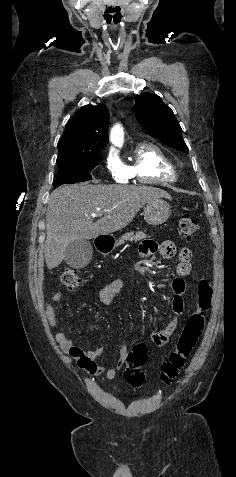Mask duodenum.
<instances>
[{"label": "duodenum", "instance_id": "410a0bca", "mask_svg": "<svg viewBox=\"0 0 236 477\" xmlns=\"http://www.w3.org/2000/svg\"><path fill=\"white\" fill-rule=\"evenodd\" d=\"M113 242L111 239H100L98 238L97 247L101 250L112 247Z\"/></svg>", "mask_w": 236, "mask_h": 477}]
</instances>
